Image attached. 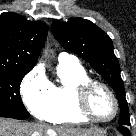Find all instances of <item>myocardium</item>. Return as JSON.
I'll use <instances>...</instances> for the list:
<instances>
[{"label": "myocardium", "mask_w": 136, "mask_h": 136, "mask_svg": "<svg viewBox=\"0 0 136 136\" xmlns=\"http://www.w3.org/2000/svg\"><path fill=\"white\" fill-rule=\"evenodd\" d=\"M97 89L105 90L112 99L114 110L109 118L102 119L95 116L90 107V100L92 94ZM76 104L80 114L85 117L88 121L95 123H107L115 119L119 111L118 99L114 91L105 83L97 80H87L81 83L76 89Z\"/></svg>", "instance_id": "myocardium-1"}]
</instances>
